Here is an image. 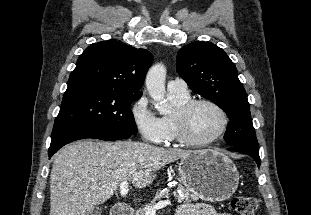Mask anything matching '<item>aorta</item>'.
Returning a JSON list of instances; mask_svg holds the SVG:
<instances>
[{"label": "aorta", "instance_id": "1", "mask_svg": "<svg viewBox=\"0 0 311 215\" xmlns=\"http://www.w3.org/2000/svg\"><path fill=\"white\" fill-rule=\"evenodd\" d=\"M166 68L163 64L152 66L146 75V89L150 97L155 101V106L161 115L171 111V106L165 100Z\"/></svg>", "mask_w": 311, "mask_h": 215}]
</instances>
